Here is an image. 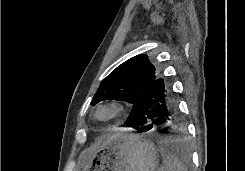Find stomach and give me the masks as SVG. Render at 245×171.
<instances>
[{"label":"stomach","instance_id":"stomach-1","mask_svg":"<svg viewBox=\"0 0 245 171\" xmlns=\"http://www.w3.org/2000/svg\"><path fill=\"white\" fill-rule=\"evenodd\" d=\"M155 145L139 134L118 132L105 146L90 153L79 171H155Z\"/></svg>","mask_w":245,"mask_h":171}]
</instances>
